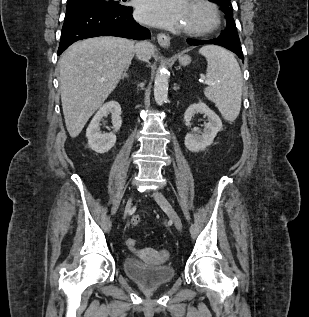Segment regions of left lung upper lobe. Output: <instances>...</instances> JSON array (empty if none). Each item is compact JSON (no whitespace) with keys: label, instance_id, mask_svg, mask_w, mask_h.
I'll return each mask as SVG.
<instances>
[{"label":"left lung upper lobe","instance_id":"5c2ea615","mask_svg":"<svg viewBox=\"0 0 309 317\" xmlns=\"http://www.w3.org/2000/svg\"><path fill=\"white\" fill-rule=\"evenodd\" d=\"M220 5V9L225 13L227 26L221 35H227L239 40L237 28L233 19V7L230 0H209Z\"/></svg>","mask_w":309,"mask_h":317}]
</instances>
